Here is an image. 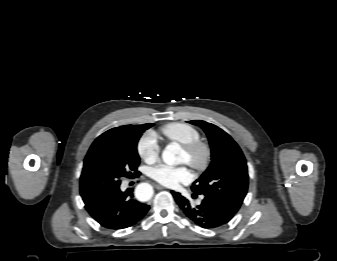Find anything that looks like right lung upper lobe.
<instances>
[{
    "label": "right lung upper lobe",
    "mask_w": 337,
    "mask_h": 261,
    "mask_svg": "<svg viewBox=\"0 0 337 261\" xmlns=\"http://www.w3.org/2000/svg\"><path fill=\"white\" fill-rule=\"evenodd\" d=\"M150 124H144V125H125V126H121V127H117V128H113L108 130L105 133H114V132H120V131H124L127 129H145V128H150L149 127Z\"/></svg>",
    "instance_id": "1"
}]
</instances>
